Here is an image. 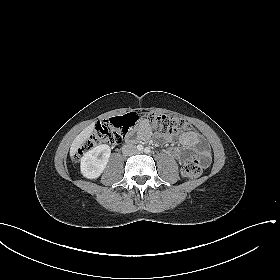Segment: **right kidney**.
I'll use <instances>...</instances> for the list:
<instances>
[{
	"label": "right kidney",
	"instance_id": "ca27d5eb",
	"mask_svg": "<svg viewBox=\"0 0 280 280\" xmlns=\"http://www.w3.org/2000/svg\"><path fill=\"white\" fill-rule=\"evenodd\" d=\"M111 149L102 144L86 152L81 158V173L88 179L98 178L104 171L109 161Z\"/></svg>",
	"mask_w": 280,
	"mask_h": 280
}]
</instances>
